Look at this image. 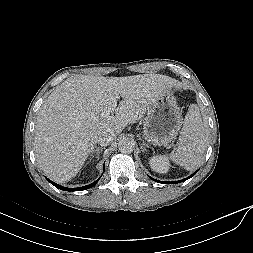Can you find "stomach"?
Listing matches in <instances>:
<instances>
[{
  "label": "stomach",
  "instance_id": "0dacf381",
  "mask_svg": "<svg viewBox=\"0 0 253 253\" xmlns=\"http://www.w3.org/2000/svg\"><path fill=\"white\" fill-rule=\"evenodd\" d=\"M182 116L171 90L165 91L147 111L143 137L154 146H165L176 138Z\"/></svg>",
  "mask_w": 253,
  "mask_h": 253
}]
</instances>
